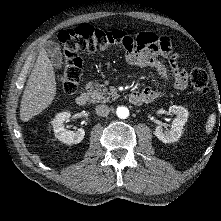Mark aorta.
Segmentation results:
<instances>
[{
	"instance_id": "obj_1",
	"label": "aorta",
	"mask_w": 221,
	"mask_h": 221,
	"mask_svg": "<svg viewBox=\"0 0 221 221\" xmlns=\"http://www.w3.org/2000/svg\"><path fill=\"white\" fill-rule=\"evenodd\" d=\"M116 113L121 119H126L129 116V110L126 107H118Z\"/></svg>"
}]
</instances>
